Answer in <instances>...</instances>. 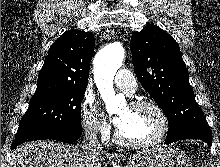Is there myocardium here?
<instances>
[{"label":"myocardium","instance_id":"myocardium-1","mask_svg":"<svg viewBox=\"0 0 220 167\" xmlns=\"http://www.w3.org/2000/svg\"><path fill=\"white\" fill-rule=\"evenodd\" d=\"M130 107L131 108H150L154 110L157 113L159 120H160V129L158 133L150 139H146L142 141H132V140H128L124 138L118 128L115 131V139L117 143L122 146L129 147V148H145V147L155 146L159 144L160 142H162L164 138L166 137L167 132L169 130V121H168V117L164 109L158 103L154 101H150V100L133 101L130 104Z\"/></svg>","mask_w":220,"mask_h":167}]
</instances>
